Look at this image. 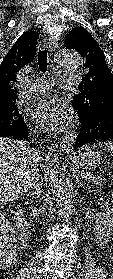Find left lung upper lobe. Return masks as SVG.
Segmentation results:
<instances>
[{"label":"left lung upper lobe","instance_id":"left-lung-upper-lobe-1","mask_svg":"<svg viewBox=\"0 0 113 279\" xmlns=\"http://www.w3.org/2000/svg\"><path fill=\"white\" fill-rule=\"evenodd\" d=\"M65 46L79 52L84 65L80 93L73 97V103L86 104L88 108L99 104L112 105L113 74L92 35L83 27H75L66 37Z\"/></svg>","mask_w":113,"mask_h":279}]
</instances>
